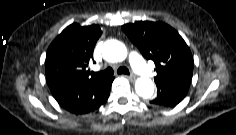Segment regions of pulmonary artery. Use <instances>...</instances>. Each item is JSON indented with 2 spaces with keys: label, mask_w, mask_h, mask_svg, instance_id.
<instances>
[{
  "label": "pulmonary artery",
  "mask_w": 236,
  "mask_h": 135,
  "mask_svg": "<svg viewBox=\"0 0 236 135\" xmlns=\"http://www.w3.org/2000/svg\"><path fill=\"white\" fill-rule=\"evenodd\" d=\"M129 61L138 74L143 76H150L152 74L151 68L136 51L129 53Z\"/></svg>",
  "instance_id": "pulmonary-artery-1"
}]
</instances>
